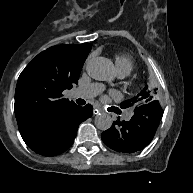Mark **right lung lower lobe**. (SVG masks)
Instances as JSON below:
<instances>
[{
    "label": "right lung lower lobe",
    "instance_id": "98d812e1",
    "mask_svg": "<svg viewBox=\"0 0 193 193\" xmlns=\"http://www.w3.org/2000/svg\"><path fill=\"white\" fill-rule=\"evenodd\" d=\"M92 111L90 104L85 107L77 106L51 129L21 136L27 146L38 154H61L73 144L79 124L91 117Z\"/></svg>",
    "mask_w": 193,
    "mask_h": 193
}]
</instances>
